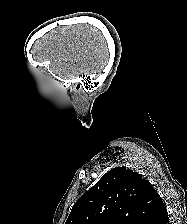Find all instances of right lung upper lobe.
<instances>
[{
    "label": "right lung upper lobe",
    "mask_w": 187,
    "mask_h": 224,
    "mask_svg": "<svg viewBox=\"0 0 187 224\" xmlns=\"http://www.w3.org/2000/svg\"><path fill=\"white\" fill-rule=\"evenodd\" d=\"M166 215L161 197L147 180L117 167L73 205L65 224H159Z\"/></svg>",
    "instance_id": "obj_1"
}]
</instances>
